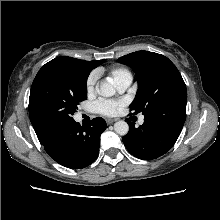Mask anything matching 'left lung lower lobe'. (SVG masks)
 <instances>
[{
	"label": "left lung lower lobe",
	"instance_id": "1",
	"mask_svg": "<svg viewBox=\"0 0 220 220\" xmlns=\"http://www.w3.org/2000/svg\"><path fill=\"white\" fill-rule=\"evenodd\" d=\"M186 119V105L158 108L144 115V123L135 128L127 121L129 132L122 138L127 150L143 160L156 159L177 141Z\"/></svg>",
	"mask_w": 220,
	"mask_h": 220
}]
</instances>
